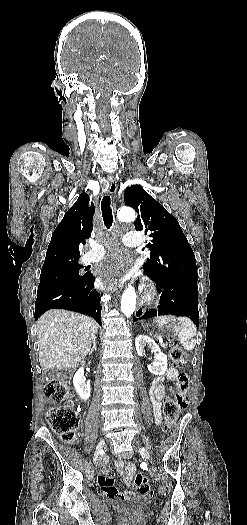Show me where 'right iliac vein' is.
Wrapping results in <instances>:
<instances>
[{
    "instance_id": "obj_1",
    "label": "right iliac vein",
    "mask_w": 247,
    "mask_h": 525,
    "mask_svg": "<svg viewBox=\"0 0 247 525\" xmlns=\"http://www.w3.org/2000/svg\"><path fill=\"white\" fill-rule=\"evenodd\" d=\"M104 445H105V441L102 439L99 441L97 447H96V451H95V454H94V457H93V463L94 464H98L100 461H99V455L101 453V451L103 450L104 448Z\"/></svg>"
}]
</instances>
